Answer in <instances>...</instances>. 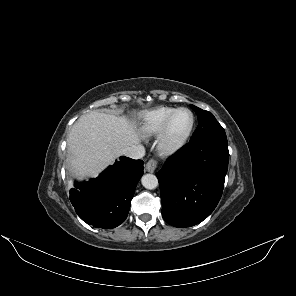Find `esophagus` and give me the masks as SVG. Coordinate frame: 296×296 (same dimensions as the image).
I'll return each instance as SVG.
<instances>
[{"instance_id":"1","label":"esophagus","mask_w":296,"mask_h":296,"mask_svg":"<svg viewBox=\"0 0 296 296\" xmlns=\"http://www.w3.org/2000/svg\"><path fill=\"white\" fill-rule=\"evenodd\" d=\"M145 168L147 172L153 173L157 168V161L155 159L149 160Z\"/></svg>"}]
</instances>
